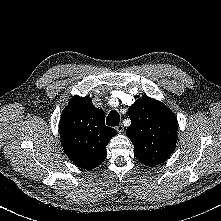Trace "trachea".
Segmentation results:
<instances>
[{
    "instance_id": "obj_1",
    "label": "trachea",
    "mask_w": 221,
    "mask_h": 221,
    "mask_svg": "<svg viewBox=\"0 0 221 221\" xmlns=\"http://www.w3.org/2000/svg\"><path fill=\"white\" fill-rule=\"evenodd\" d=\"M119 122H120V117H119L118 112L116 110H112L107 116L106 124L108 126L114 127V126L119 125Z\"/></svg>"
}]
</instances>
